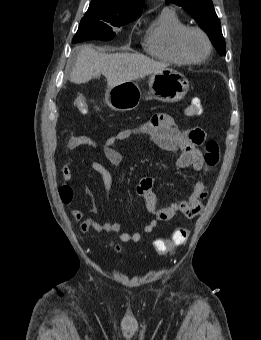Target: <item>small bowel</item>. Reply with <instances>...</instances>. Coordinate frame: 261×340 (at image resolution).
<instances>
[{
	"mask_svg": "<svg viewBox=\"0 0 261 340\" xmlns=\"http://www.w3.org/2000/svg\"><path fill=\"white\" fill-rule=\"evenodd\" d=\"M133 135L150 136L158 147L174 156L175 164L180 169L192 167L195 171L203 174L209 171V166L206 164L203 154L197 148L205 140L204 131L200 128L181 130L176 126L173 117L165 113L156 114L147 123L123 129L109 136L100 147L111 165L118 166L122 162V155L114 149V145ZM81 146L99 147L96 141L85 135L72 136L67 143L69 150H75ZM91 168L100 175L104 189L109 193L113 182L111 172L98 161H92ZM62 176L66 181H72L73 176L68 165L63 166ZM137 193L144 199L148 212L155 215V219L146 224L143 229L145 233H151L159 222L171 220L177 212L188 219L200 214L203 209V200L208 193V187L204 180H198L186 201H176L170 206L162 208L157 207V195L152 178H142L138 184ZM71 217L74 221L80 222V230L83 233L90 230L98 233H119L122 230L120 223L109 221L100 223L91 217H85L80 209H74L71 212ZM141 237L139 232H122L119 239L123 243H137L141 240Z\"/></svg>",
	"mask_w": 261,
	"mask_h": 340,
	"instance_id": "small-bowel-1",
	"label": "small bowel"
}]
</instances>
